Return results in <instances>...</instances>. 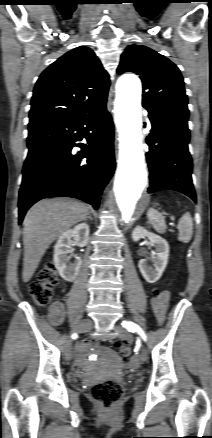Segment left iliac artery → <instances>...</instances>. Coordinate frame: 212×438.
Returning <instances> with one entry per match:
<instances>
[{
	"instance_id": "obj_1",
	"label": "left iliac artery",
	"mask_w": 212,
	"mask_h": 438,
	"mask_svg": "<svg viewBox=\"0 0 212 438\" xmlns=\"http://www.w3.org/2000/svg\"><path fill=\"white\" fill-rule=\"evenodd\" d=\"M122 326L126 328L129 332H137L144 341H147V336L144 332V330L138 326L137 324L130 322V321H123Z\"/></svg>"
}]
</instances>
